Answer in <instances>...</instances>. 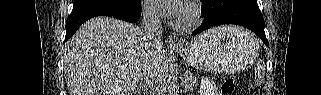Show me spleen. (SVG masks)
Listing matches in <instances>:
<instances>
[{
    "label": "spleen",
    "instance_id": "spleen-1",
    "mask_svg": "<svg viewBox=\"0 0 321 95\" xmlns=\"http://www.w3.org/2000/svg\"><path fill=\"white\" fill-rule=\"evenodd\" d=\"M265 75V64L263 60H259L255 67V84L257 86L261 85L264 80Z\"/></svg>",
    "mask_w": 321,
    "mask_h": 95
}]
</instances>
